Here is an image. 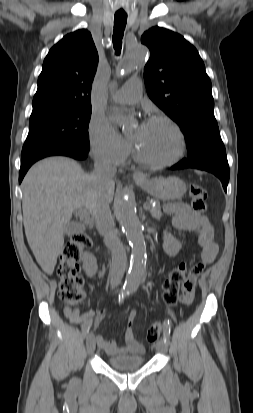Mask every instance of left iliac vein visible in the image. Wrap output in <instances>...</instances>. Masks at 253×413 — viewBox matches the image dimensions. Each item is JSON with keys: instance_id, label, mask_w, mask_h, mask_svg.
Masks as SVG:
<instances>
[{"instance_id": "4c4485c4", "label": "left iliac vein", "mask_w": 253, "mask_h": 413, "mask_svg": "<svg viewBox=\"0 0 253 413\" xmlns=\"http://www.w3.org/2000/svg\"><path fill=\"white\" fill-rule=\"evenodd\" d=\"M156 350L158 352H166L167 351V345L164 342V339H160L156 343Z\"/></svg>"}]
</instances>
